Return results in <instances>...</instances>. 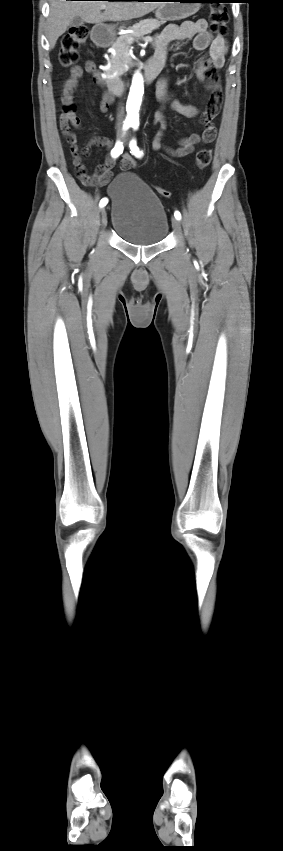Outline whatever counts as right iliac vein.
Wrapping results in <instances>:
<instances>
[{
  "mask_svg": "<svg viewBox=\"0 0 283 851\" xmlns=\"http://www.w3.org/2000/svg\"><path fill=\"white\" fill-rule=\"evenodd\" d=\"M101 223L104 227L107 225V213L105 208L101 209Z\"/></svg>",
  "mask_w": 283,
  "mask_h": 851,
  "instance_id": "right-iliac-vein-1",
  "label": "right iliac vein"
}]
</instances>
